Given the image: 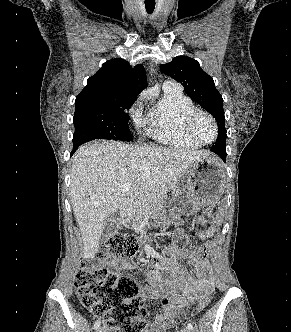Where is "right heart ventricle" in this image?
Returning <instances> with one entry per match:
<instances>
[{
  "label": "right heart ventricle",
  "mask_w": 291,
  "mask_h": 332,
  "mask_svg": "<svg viewBox=\"0 0 291 332\" xmlns=\"http://www.w3.org/2000/svg\"><path fill=\"white\" fill-rule=\"evenodd\" d=\"M195 108L181 89L164 88L163 95L151 106L147 118L149 134L157 141L176 148L198 149L184 130L186 114Z\"/></svg>",
  "instance_id": "obj_1"
}]
</instances>
